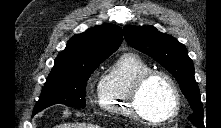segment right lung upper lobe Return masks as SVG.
<instances>
[{"label":"right lung upper lobe","mask_w":221,"mask_h":128,"mask_svg":"<svg viewBox=\"0 0 221 128\" xmlns=\"http://www.w3.org/2000/svg\"><path fill=\"white\" fill-rule=\"evenodd\" d=\"M123 41L116 25H101L73 36L64 51L58 54L52 71L69 69L108 58Z\"/></svg>","instance_id":"1"}]
</instances>
